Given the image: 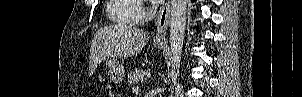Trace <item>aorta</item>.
<instances>
[{
    "label": "aorta",
    "instance_id": "1",
    "mask_svg": "<svg viewBox=\"0 0 302 97\" xmlns=\"http://www.w3.org/2000/svg\"><path fill=\"white\" fill-rule=\"evenodd\" d=\"M170 17V62L171 81L176 83L180 68L181 53L186 29L187 0H171ZM170 91V90H169ZM172 94V89H171Z\"/></svg>",
    "mask_w": 302,
    "mask_h": 97
}]
</instances>
